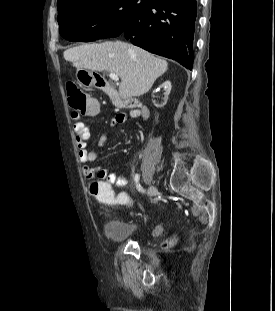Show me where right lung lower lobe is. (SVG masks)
I'll use <instances>...</instances> for the list:
<instances>
[{"instance_id": "1", "label": "right lung lower lobe", "mask_w": 275, "mask_h": 311, "mask_svg": "<svg viewBox=\"0 0 275 311\" xmlns=\"http://www.w3.org/2000/svg\"><path fill=\"white\" fill-rule=\"evenodd\" d=\"M196 14L197 0H155L122 33L134 45L176 60L191 70Z\"/></svg>"}]
</instances>
